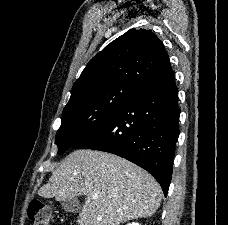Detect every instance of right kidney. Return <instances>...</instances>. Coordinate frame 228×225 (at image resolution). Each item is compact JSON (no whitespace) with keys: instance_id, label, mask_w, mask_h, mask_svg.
Segmentation results:
<instances>
[{"instance_id":"ca27d5eb","label":"right kidney","mask_w":228,"mask_h":225,"mask_svg":"<svg viewBox=\"0 0 228 225\" xmlns=\"http://www.w3.org/2000/svg\"><path fill=\"white\" fill-rule=\"evenodd\" d=\"M129 225H139V223H129Z\"/></svg>"}]
</instances>
